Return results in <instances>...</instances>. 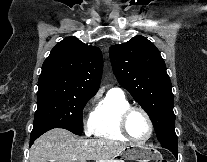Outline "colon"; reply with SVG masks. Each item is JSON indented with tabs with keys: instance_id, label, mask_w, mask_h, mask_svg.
I'll list each match as a JSON object with an SVG mask.
<instances>
[{
	"instance_id": "5ec220e1",
	"label": "colon",
	"mask_w": 207,
	"mask_h": 162,
	"mask_svg": "<svg viewBox=\"0 0 207 162\" xmlns=\"http://www.w3.org/2000/svg\"><path fill=\"white\" fill-rule=\"evenodd\" d=\"M155 162H168L167 160H157Z\"/></svg>"
}]
</instances>
